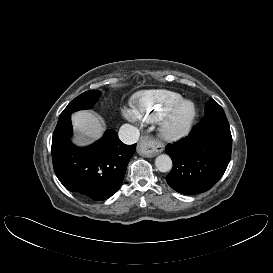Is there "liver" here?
<instances>
[{"label": "liver", "mask_w": 273, "mask_h": 273, "mask_svg": "<svg viewBox=\"0 0 273 273\" xmlns=\"http://www.w3.org/2000/svg\"><path fill=\"white\" fill-rule=\"evenodd\" d=\"M72 122L75 129L85 138V141L99 139L104 128L99 119L88 111H79L72 115Z\"/></svg>", "instance_id": "liver-1"}]
</instances>
